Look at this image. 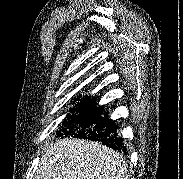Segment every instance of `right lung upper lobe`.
Listing matches in <instances>:
<instances>
[{
  "label": "right lung upper lobe",
  "mask_w": 183,
  "mask_h": 179,
  "mask_svg": "<svg viewBox=\"0 0 183 179\" xmlns=\"http://www.w3.org/2000/svg\"><path fill=\"white\" fill-rule=\"evenodd\" d=\"M82 95L80 94L77 98L76 97H74V99H80V97H81ZM86 98H88V96L86 95L85 96Z\"/></svg>",
  "instance_id": "1"
}]
</instances>
